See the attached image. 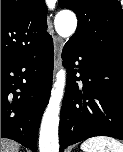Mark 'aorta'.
Returning a JSON list of instances; mask_svg holds the SVG:
<instances>
[{
    "mask_svg": "<svg viewBox=\"0 0 123 152\" xmlns=\"http://www.w3.org/2000/svg\"><path fill=\"white\" fill-rule=\"evenodd\" d=\"M77 27V18L71 11H60L55 17V29L63 38L72 36ZM66 71L61 68L51 91L48 106L44 112L39 137L40 152H58V126L60 104L64 94Z\"/></svg>",
    "mask_w": 123,
    "mask_h": 152,
    "instance_id": "obj_1",
    "label": "aorta"
}]
</instances>
